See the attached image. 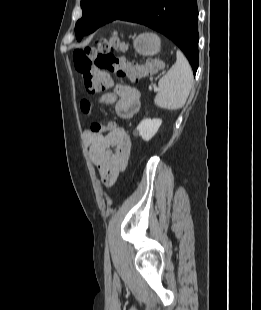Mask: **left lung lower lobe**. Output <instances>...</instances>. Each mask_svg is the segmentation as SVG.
Returning a JSON list of instances; mask_svg holds the SVG:
<instances>
[{
  "label": "left lung lower lobe",
  "instance_id": "obj_1",
  "mask_svg": "<svg viewBox=\"0 0 261 310\" xmlns=\"http://www.w3.org/2000/svg\"><path fill=\"white\" fill-rule=\"evenodd\" d=\"M114 20L146 25L171 39L188 58L195 74L198 68V9L196 0H130ZM106 23H90L77 36L80 41Z\"/></svg>",
  "mask_w": 261,
  "mask_h": 310
}]
</instances>
